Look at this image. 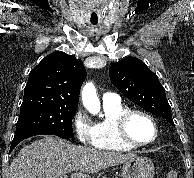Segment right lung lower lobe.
Returning <instances> with one entry per match:
<instances>
[{"mask_svg": "<svg viewBox=\"0 0 194 178\" xmlns=\"http://www.w3.org/2000/svg\"><path fill=\"white\" fill-rule=\"evenodd\" d=\"M41 134L47 135V134H51V133H48V132H45V131H38V130L15 133V136H14L13 141L11 143V150L13 148H15V146L18 143H20L22 140H24L26 138H29V137H32V136H35V135H41ZM67 139H70V138H67Z\"/></svg>", "mask_w": 194, "mask_h": 178, "instance_id": "1", "label": "right lung lower lobe"}]
</instances>
